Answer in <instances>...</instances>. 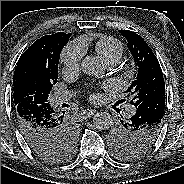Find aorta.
Instances as JSON below:
<instances>
[{
	"label": "aorta",
	"mask_w": 184,
	"mask_h": 184,
	"mask_svg": "<svg viewBox=\"0 0 184 184\" xmlns=\"http://www.w3.org/2000/svg\"><path fill=\"white\" fill-rule=\"evenodd\" d=\"M82 71L90 76L99 77L104 74V65L94 56H87L81 62ZM112 116L108 112H98L93 117V125L99 130L109 129L112 125Z\"/></svg>",
	"instance_id": "aorta-1"
}]
</instances>
